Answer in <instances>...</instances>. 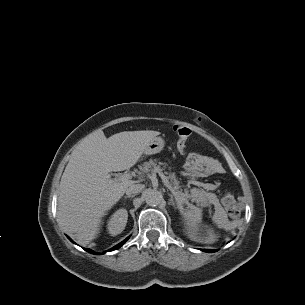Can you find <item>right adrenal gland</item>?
<instances>
[{"instance_id": "right-adrenal-gland-1", "label": "right adrenal gland", "mask_w": 305, "mask_h": 305, "mask_svg": "<svg viewBox=\"0 0 305 305\" xmlns=\"http://www.w3.org/2000/svg\"><path fill=\"white\" fill-rule=\"evenodd\" d=\"M135 195H128V196H125L124 198L127 199V198H133Z\"/></svg>"}]
</instances>
